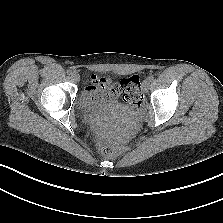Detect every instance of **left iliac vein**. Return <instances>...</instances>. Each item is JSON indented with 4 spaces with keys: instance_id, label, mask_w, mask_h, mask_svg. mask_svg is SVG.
<instances>
[{
    "instance_id": "1",
    "label": "left iliac vein",
    "mask_w": 223,
    "mask_h": 223,
    "mask_svg": "<svg viewBox=\"0 0 223 223\" xmlns=\"http://www.w3.org/2000/svg\"><path fill=\"white\" fill-rule=\"evenodd\" d=\"M149 86H150V83L147 79L142 82V90L144 93L148 92Z\"/></svg>"
}]
</instances>
